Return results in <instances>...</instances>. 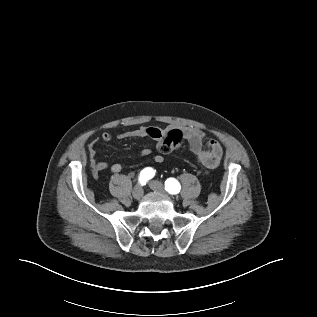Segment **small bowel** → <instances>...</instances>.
Returning a JSON list of instances; mask_svg holds the SVG:
<instances>
[{
  "instance_id": "small-bowel-1",
  "label": "small bowel",
  "mask_w": 317,
  "mask_h": 317,
  "mask_svg": "<svg viewBox=\"0 0 317 317\" xmlns=\"http://www.w3.org/2000/svg\"><path fill=\"white\" fill-rule=\"evenodd\" d=\"M184 137L189 145L191 152L196 156L199 164L205 169H214L218 166L222 156L223 147L217 140H207L203 130L196 127H185L182 130ZM165 131L155 127H139L133 130H128L117 134V139H131L140 137H151L157 142L158 153L153 156V161L156 163H162L164 160L163 153L160 151L162 144V138ZM101 139L104 142L112 140V135L108 132H104L101 135ZM152 150L144 148L141 150L140 155L143 157L150 156ZM89 162L92 173L97 175L99 172L109 169L112 173L117 174L122 170V166L118 163L109 164L97 159V148L95 143H91L89 146Z\"/></svg>"
}]
</instances>
